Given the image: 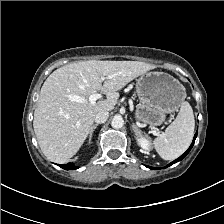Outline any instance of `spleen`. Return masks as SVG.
Masks as SVG:
<instances>
[{
  "mask_svg": "<svg viewBox=\"0 0 224 224\" xmlns=\"http://www.w3.org/2000/svg\"><path fill=\"white\" fill-rule=\"evenodd\" d=\"M194 128L192 107L188 102H183L175 120L153 141L154 148L164 160H174L190 146Z\"/></svg>",
  "mask_w": 224,
  "mask_h": 224,
  "instance_id": "1",
  "label": "spleen"
}]
</instances>
